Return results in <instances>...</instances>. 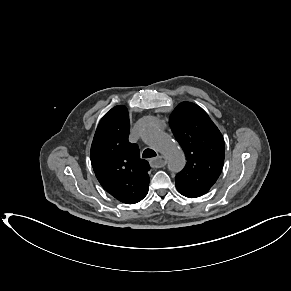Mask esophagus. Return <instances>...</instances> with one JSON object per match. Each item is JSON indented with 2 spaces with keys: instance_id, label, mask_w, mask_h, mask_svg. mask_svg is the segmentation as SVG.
<instances>
[{
  "instance_id": "obj_1",
  "label": "esophagus",
  "mask_w": 291,
  "mask_h": 291,
  "mask_svg": "<svg viewBox=\"0 0 291 291\" xmlns=\"http://www.w3.org/2000/svg\"><path fill=\"white\" fill-rule=\"evenodd\" d=\"M167 164V158L162 155H158L156 158L150 160V165L153 168H161Z\"/></svg>"
}]
</instances>
